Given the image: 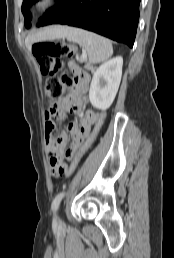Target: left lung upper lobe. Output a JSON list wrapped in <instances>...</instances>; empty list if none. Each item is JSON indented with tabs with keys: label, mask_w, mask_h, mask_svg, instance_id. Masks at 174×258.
Here are the masks:
<instances>
[{
	"label": "left lung upper lobe",
	"mask_w": 174,
	"mask_h": 258,
	"mask_svg": "<svg viewBox=\"0 0 174 258\" xmlns=\"http://www.w3.org/2000/svg\"><path fill=\"white\" fill-rule=\"evenodd\" d=\"M37 0H23L22 4V13L24 15V20H25V27L29 28L30 27V20H31V13L29 12L30 6L35 3ZM64 0H57V4L55 7L51 8L48 10L43 17L39 20L38 26H41L44 21L59 7V5L63 2Z\"/></svg>",
	"instance_id": "left-lung-upper-lobe-1"
}]
</instances>
